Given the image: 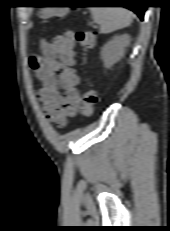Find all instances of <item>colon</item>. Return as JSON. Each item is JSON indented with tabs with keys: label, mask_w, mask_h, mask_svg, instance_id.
<instances>
[{
	"label": "colon",
	"mask_w": 170,
	"mask_h": 231,
	"mask_svg": "<svg viewBox=\"0 0 170 231\" xmlns=\"http://www.w3.org/2000/svg\"><path fill=\"white\" fill-rule=\"evenodd\" d=\"M66 15V11L61 8H48L40 12V17L42 18H62ZM97 38L96 30H82L75 34V40L81 50L83 51V56L86 57V53L93 48ZM97 94L94 90L88 89L84 92L80 99V112L83 116L88 117L92 115L96 104H97Z\"/></svg>",
	"instance_id": "colon-1"
}]
</instances>
